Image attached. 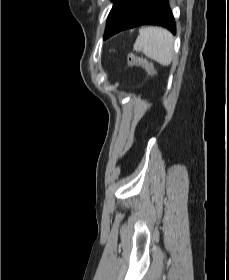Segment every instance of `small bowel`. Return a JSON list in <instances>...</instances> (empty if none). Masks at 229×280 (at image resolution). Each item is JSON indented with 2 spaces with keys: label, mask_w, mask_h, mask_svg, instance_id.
<instances>
[{
  "label": "small bowel",
  "mask_w": 229,
  "mask_h": 280,
  "mask_svg": "<svg viewBox=\"0 0 229 280\" xmlns=\"http://www.w3.org/2000/svg\"><path fill=\"white\" fill-rule=\"evenodd\" d=\"M143 67H145L147 70H149V65L148 64L143 65Z\"/></svg>",
  "instance_id": "c3829d8e"
}]
</instances>
